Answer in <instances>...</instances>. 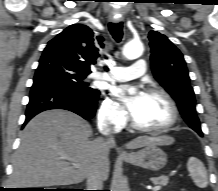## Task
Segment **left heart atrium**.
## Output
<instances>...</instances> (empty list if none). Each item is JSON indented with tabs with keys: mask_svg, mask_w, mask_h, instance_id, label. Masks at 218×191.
<instances>
[{
	"mask_svg": "<svg viewBox=\"0 0 218 191\" xmlns=\"http://www.w3.org/2000/svg\"><path fill=\"white\" fill-rule=\"evenodd\" d=\"M127 91V87H120L115 90V93L125 103L132 116H134L144 101L146 93L138 91L134 96H128Z\"/></svg>",
	"mask_w": 218,
	"mask_h": 191,
	"instance_id": "obj_1",
	"label": "left heart atrium"
}]
</instances>
